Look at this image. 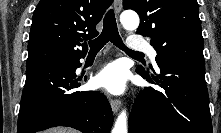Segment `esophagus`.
I'll return each mask as SVG.
<instances>
[{
    "mask_svg": "<svg viewBox=\"0 0 221 133\" xmlns=\"http://www.w3.org/2000/svg\"><path fill=\"white\" fill-rule=\"evenodd\" d=\"M122 8V0H115L114 1V9L115 13L119 15ZM110 105L114 113H117L121 107V101L119 99H110Z\"/></svg>",
    "mask_w": 221,
    "mask_h": 133,
    "instance_id": "obj_1",
    "label": "esophagus"
}]
</instances>
